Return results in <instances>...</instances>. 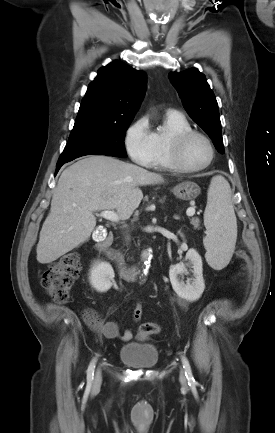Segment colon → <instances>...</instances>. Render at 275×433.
Returning a JSON list of instances; mask_svg holds the SVG:
<instances>
[{"instance_id":"colon-1","label":"colon","mask_w":275,"mask_h":433,"mask_svg":"<svg viewBox=\"0 0 275 433\" xmlns=\"http://www.w3.org/2000/svg\"><path fill=\"white\" fill-rule=\"evenodd\" d=\"M237 257L242 261L243 284L247 286L251 270L250 260L244 250H239ZM80 270V253L78 251H69L52 263L43 273L42 286L54 300L65 302L70 296L71 288L79 276ZM86 320L93 327L97 326L100 322L99 317L92 310L86 312ZM159 331L160 326L155 322H144L139 328V332L144 335L156 334Z\"/></svg>"}]
</instances>
